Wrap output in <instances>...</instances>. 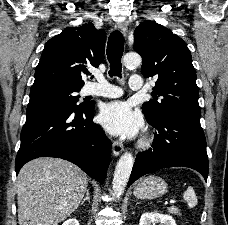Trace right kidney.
Returning a JSON list of instances; mask_svg holds the SVG:
<instances>
[{"label": "right kidney", "mask_w": 228, "mask_h": 225, "mask_svg": "<svg viewBox=\"0 0 228 225\" xmlns=\"http://www.w3.org/2000/svg\"><path fill=\"white\" fill-rule=\"evenodd\" d=\"M63 225H79L76 219H68V221H64Z\"/></svg>", "instance_id": "right-kidney-1"}]
</instances>
